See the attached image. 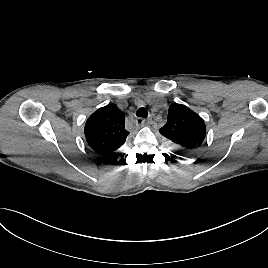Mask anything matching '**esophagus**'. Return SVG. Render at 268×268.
<instances>
[{
	"instance_id": "esophagus-1",
	"label": "esophagus",
	"mask_w": 268,
	"mask_h": 268,
	"mask_svg": "<svg viewBox=\"0 0 268 268\" xmlns=\"http://www.w3.org/2000/svg\"><path fill=\"white\" fill-rule=\"evenodd\" d=\"M136 124H137V125L144 126L145 124H147V122H146L145 119L139 117V118L136 119Z\"/></svg>"
}]
</instances>
